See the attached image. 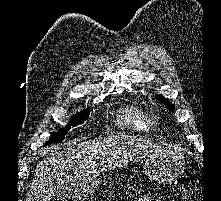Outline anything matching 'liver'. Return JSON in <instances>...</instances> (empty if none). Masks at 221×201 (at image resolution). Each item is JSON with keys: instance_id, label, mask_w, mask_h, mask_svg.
I'll return each mask as SVG.
<instances>
[{"instance_id": "1", "label": "liver", "mask_w": 221, "mask_h": 201, "mask_svg": "<svg viewBox=\"0 0 221 201\" xmlns=\"http://www.w3.org/2000/svg\"><path fill=\"white\" fill-rule=\"evenodd\" d=\"M165 149L169 148L128 135L74 140L60 150L55 148L38 164L26 201H50L59 185L88 186L101 171L137 163Z\"/></svg>"}]
</instances>
